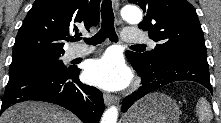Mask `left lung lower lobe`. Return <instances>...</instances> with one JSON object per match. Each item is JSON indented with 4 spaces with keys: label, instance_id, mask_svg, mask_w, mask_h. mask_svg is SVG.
<instances>
[{
    "label": "left lung lower lobe",
    "instance_id": "1",
    "mask_svg": "<svg viewBox=\"0 0 221 123\" xmlns=\"http://www.w3.org/2000/svg\"><path fill=\"white\" fill-rule=\"evenodd\" d=\"M128 59L141 76L142 86L123 100V112H126L135 101L149 92L174 81H194L202 84L212 92L207 60L194 57H178L165 62L147 65L139 60Z\"/></svg>",
    "mask_w": 221,
    "mask_h": 123
}]
</instances>
